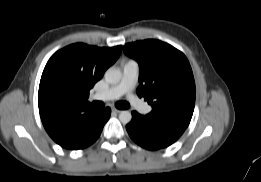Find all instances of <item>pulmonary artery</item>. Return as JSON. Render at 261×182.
<instances>
[{"instance_id": "pulmonary-artery-1", "label": "pulmonary artery", "mask_w": 261, "mask_h": 182, "mask_svg": "<svg viewBox=\"0 0 261 182\" xmlns=\"http://www.w3.org/2000/svg\"><path fill=\"white\" fill-rule=\"evenodd\" d=\"M138 64L137 62L130 60L126 63H124L122 67V77L120 82L105 92L97 93L92 96V99L94 100H100V101H112L115 100L123 95H126L127 98L133 103L136 108L142 112V113H150L151 108L146 103L135 100L131 95L130 91L132 90L137 75H138Z\"/></svg>"}]
</instances>
